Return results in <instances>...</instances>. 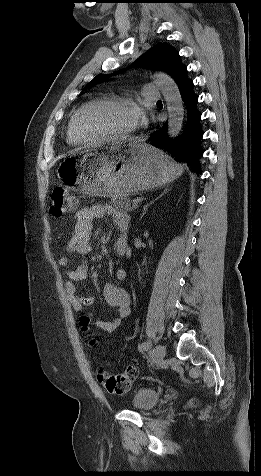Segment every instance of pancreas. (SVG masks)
Segmentation results:
<instances>
[{
	"label": "pancreas",
	"mask_w": 261,
	"mask_h": 476,
	"mask_svg": "<svg viewBox=\"0 0 261 476\" xmlns=\"http://www.w3.org/2000/svg\"><path fill=\"white\" fill-rule=\"evenodd\" d=\"M113 203L123 211L129 212L133 210L131 207V200L127 197L116 198L113 200Z\"/></svg>",
	"instance_id": "1"
}]
</instances>
